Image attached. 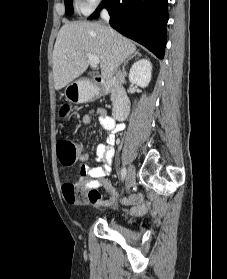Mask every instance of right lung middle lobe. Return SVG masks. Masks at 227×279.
Returning <instances> with one entry per match:
<instances>
[{
  "label": "right lung middle lobe",
  "mask_w": 227,
  "mask_h": 279,
  "mask_svg": "<svg viewBox=\"0 0 227 279\" xmlns=\"http://www.w3.org/2000/svg\"><path fill=\"white\" fill-rule=\"evenodd\" d=\"M73 13L72 0H65V14L70 16Z\"/></svg>",
  "instance_id": "right-lung-middle-lobe-1"
}]
</instances>
